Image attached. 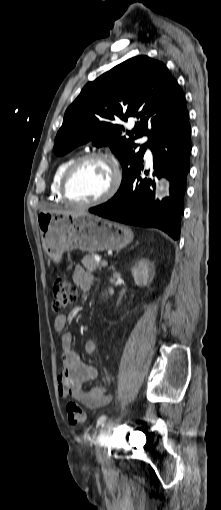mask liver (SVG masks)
Segmentation results:
<instances>
[{"mask_svg":"<svg viewBox=\"0 0 221 510\" xmlns=\"http://www.w3.org/2000/svg\"><path fill=\"white\" fill-rule=\"evenodd\" d=\"M43 211H48V212H53V213H62V214H72V215H87L88 214L85 211H66V210H57V209H47V210H42V212Z\"/></svg>","mask_w":221,"mask_h":510,"instance_id":"1","label":"liver"}]
</instances>
